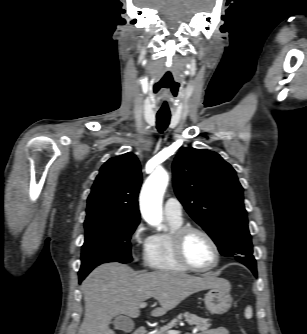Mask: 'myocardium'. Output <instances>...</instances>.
<instances>
[{
	"label": "myocardium",
	"instance_id": "f54148a6",
	"mask_svg": "<svg viewBox=\"0 0 307 334\" xmlns=\"http://www.w3.org/2000/svg\"><path fill=\"white\" fill-rule=\"evenodd\" d=\"M192 233H199L203 235L213 247L215 253V260L212 265L202 268L193 265L189 261L185 250V244L187 238ZM171 240H172V249L177 261L187 270L194 272H208L215 269L220 263L221 259L220 248L215 239L213 238V236L203 228L192 225L181 226L172 232Z\"/></svg>",
	"mask_w": 307,
	"mask_h": 334
}]
</instances>
